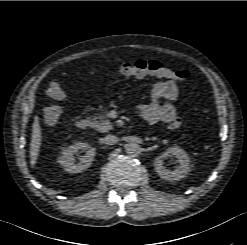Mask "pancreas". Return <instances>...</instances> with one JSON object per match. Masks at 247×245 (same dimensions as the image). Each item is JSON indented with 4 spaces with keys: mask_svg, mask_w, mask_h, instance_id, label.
Returning <instances> with one entry per match:
<instances>
[{
    "mask_svg": "<svg viewBox=\"0 0 247 245\" xmlns=\"http://www.w3.org/2000/svg\"><path fill=\"white\" fill-rule=\"evenodd\" d=\"M92 127L99 132H109L113 129L111 121L108 119L107 112L96 115L92 118Z\"/></svg>",
    "mask_w": 247,
    "mask_h": 245,
    "instance_id": "obj_1",
    "label": "pancreas"
}]
</instances>
